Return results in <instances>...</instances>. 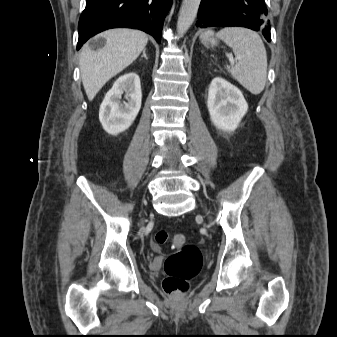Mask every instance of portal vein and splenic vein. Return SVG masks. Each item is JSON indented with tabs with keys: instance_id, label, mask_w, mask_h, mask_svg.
<instances>
[{
	"instance_id": "portal-vein-and-splenic-vein-1",
	"label": "portal vein and splenic vein",
	"mask_w": 337,
	"mask_h": 337,
	"mask_svg": "<svg viewBox=\"0 0 337 337\" xmlns=\"http://www.w3.org/2000/svg\"><path fill=\"white\" fill-rule=\"evenodd\" d=\"M229 60H230V63L233 65L235 60L232 57H230Z\"/></svg>"
}]
</instances>
